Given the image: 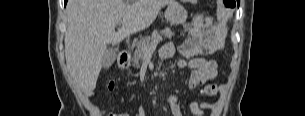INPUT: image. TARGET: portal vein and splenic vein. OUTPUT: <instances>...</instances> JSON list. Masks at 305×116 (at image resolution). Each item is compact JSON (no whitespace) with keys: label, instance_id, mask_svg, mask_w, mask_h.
<instances>
[{"label":"portal vein and splenic vein","instance_id":"portal-vein-and-splenic-vein-1","mask_svg":"<svg viewBox=\"0 0 305 116\" xmlns=\"http://www.w3.org/2000/svg\"><path fill=\"white\" fill-rule=\"evenodd\" d=\"M122 24V21H118L117 22V25L120 26ZM162 40V37L161 36H158L156 38L153 39V41L151 42L150 45H144L143 46V51L144 53H152L155 49H156V46L158 45V43Z\"/></svg>","mask_w":305,"mask_h":116}]
</instances>
